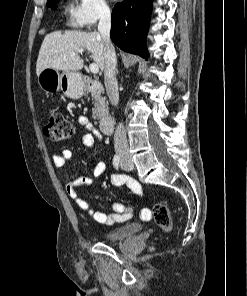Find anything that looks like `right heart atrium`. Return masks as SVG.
Listing matches in <instances>:
<instances>
[{"label": "right heart atrium", "instance_id": "obj_1", "mask_svg": "<svg viewBox=\"0 0 247 296\" xmlns=\"http://www.w3.org/2000/svg\"><path fill=\"white\" fill-rule=\"evenodd\" d=\"M111 14L106 0H74L69 11L70 22L74 26L91 28L99 20Z\"/></svg>", "mask_w": 247, "mask_h": 296}]
</instances>
